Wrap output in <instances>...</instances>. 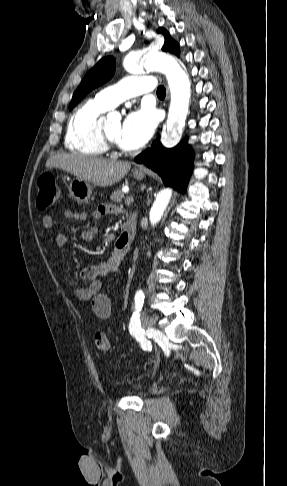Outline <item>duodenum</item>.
Masks as SVG:
<instances>
[{
	"instance_id": "410a0bca",
	"label": "duodenum",
	"mask_w": 287,
	"mask_h": 486,
	"mask_svg": "<svg viewBox=\"0 0 287 486\" xmlns=\"http://www.w3.org/2000/svg\"><path fill=\"white\" fill-rule=\"evenodd\" d=\"M136 233V218L129 216L126 219L124 228L116 240V250L118 253H125L128 251Z\"/></svg>"
}]
</instances>
